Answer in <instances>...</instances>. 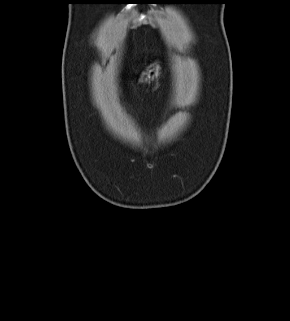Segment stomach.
<instances>
[{"label": "stomach", "mask_w": 290, "mask_h": 321, "mask_svg": "<svg viewBox=\"0 0 290 321\" xmlns=\"http://www.w3.org/2000/svg\"><path fill=\"white\" fill-rule=\"evenodd\" d=\"M159 65L158 64H153L148 67L146 72H144L140 78V82H150L153 80L155 77L159 75Z\"/></svg>", "instance_id": "stomach-1"}]
</instances>
